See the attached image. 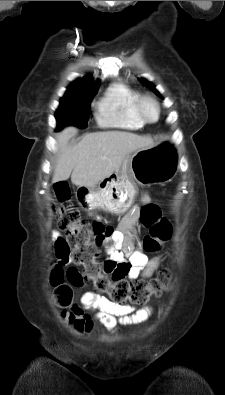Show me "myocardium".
Returning <instances> with one entry per match:
<instances>
[{
	"instance_id": "f54148a6",
	"label": "myocardium",
	"mask_w": 225,
	"mask_h": 395,
	"mask_svg": "<svg viewBox=\"0 0 225 395\" xmlns=\"http://www.w3.org/2000/svg\"><path fill=\"white\" fill-rule=\"evenodd\" d=\"M151 105L155 111V116L153 118L149 117L146 113V106ZM135 111L138 118L144 124H154L161 116V107L156 98L151 95H140L135 103Z\"/></svg>"
}]
</instances>
